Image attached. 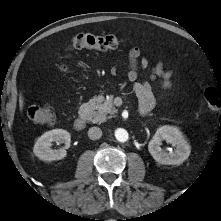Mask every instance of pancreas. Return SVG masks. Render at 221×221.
<instances>
[{
  "label": "pancreas",
  "mask_w": 221,
  "mask_h": 221,
  "mask_svg": "<svg viewBox=\"0 0 221 221\" xmlns=\"http://www.w3.org/2000/svg\"><path fill=\"white\" fill-rule=\"evenodd\" d=\"M89 104L94 110H97L94 111L89 117V120L94 123H101L117 113V109L114 107L113 104L112 96H110L109 99H105L102 95L93 97L89 101ZM107 114H110L111 116H108Z\"/></svg>",
  "instance_id": "1"
}]
</instances>
